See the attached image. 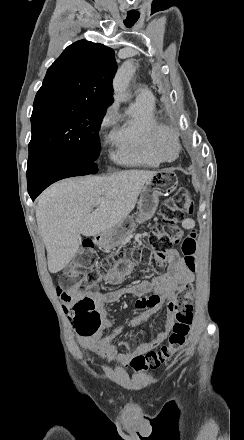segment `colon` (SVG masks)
<instances>
[{"instance_id":"obj_1","label":"colon","mask_w":244,"mask_h":440,"mask_svg":"<svg viewBox=\"0 0 244 440\" xmlns=\"http://www.w3.org/2000/svg\"><path fill=\"white\" fill-rule=\"evenodd\" d=\"M193 212L192 194L182 189L173 198L168 200L160 208V221L154 231L147 237L146 248H134L129 251L117 250L98 261L95 247L90 240H85L80 262H67L66 269L71 271L70 275H60L56 295L59 300L65 303V310L69 313L70 319H100V310H94L93 304H87L90 296L74 298L71 303L70 296L66 290L72 288L71 282L79 285L80 291L87 294L90 288H97L100 285V272L104 273L113 265L122 262L129 255L135 262L149 264L157 270L164 268L167 262V252L180 241V224L186 215ZM197 235L191 232L185 237L181 244V253L190 269H195L197 252ZM86 273L85 277L83 274ZM90 287V288H89ZM195 297V289L192 286H184L175 296L169 305V311L173 314V328L169 340L159 350L149 351L146 354L138 355L131 361L135 371L141 372L156 369L166 363L170 358L183 349L190 327L193 321L192 300Z\"/></svg>"}]
</instances>
